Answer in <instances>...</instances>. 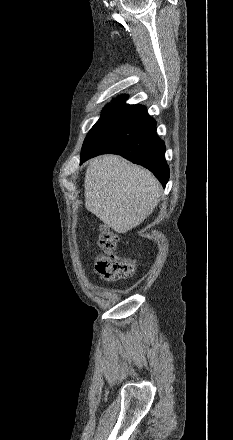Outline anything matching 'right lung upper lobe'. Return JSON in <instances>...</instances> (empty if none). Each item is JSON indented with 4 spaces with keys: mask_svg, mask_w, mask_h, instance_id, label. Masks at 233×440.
I'll list each match as a JSON object with an SVG mask.
<instances>
[{
    "mask_svg": "<svg viewBox=\"0 0 233 440\" xmlns=\"http://www.w3.org/2000/svg\"><path fill=\"white\" fill-rule=\"evenodd\" d=\"M127 96H120L119 98L115 99L111 104H118V105H122L125 106L126 104H124L125 100H126Z\"/></svg>",
    "mask_w": 233,
    "mask_h": 440,
    "instance_id": "cb5924a9",
    "label": "right lung upper lobe"
}]
</instances>
